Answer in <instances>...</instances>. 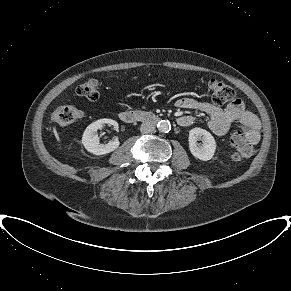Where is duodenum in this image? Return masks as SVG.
Returning <instances> with one entry per match:
<instances>
[{
	"instance_id": "1",
	"label": "duodenum",
	"mask_w": 291,
	"mask_h": 291,
	"mask_svg": "<svg viewBox=\"0 0 291 291\" xmlns=\"http://www.w3.org/2000/svg\"><path fill=\"white\" fill-rule=\"evenodd\" d=\"M119 118L124 123H133L138 121L156 123L159 121V117L155 114L137 110H124L119 114Z\"/></svg>"
}]
</instances>
